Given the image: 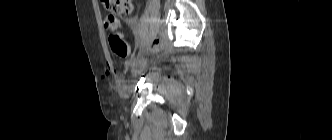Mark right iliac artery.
<instances>
[{"instance_id": "82829eb1", "label": "right iliac artery", "mask_w": 332, "mask_h": 140, "mask_svg": "<svg viewBox=\"0 0 332 140\" xmlns=\"http://www.w3.org/2000/svg\"><path fill=\"white\" fill-rule=\"evenodd\" d=\"M135 62H136V58L133 57V58H131V59L128 61V64H129L130 66H133V65L135 64Z\"/></svg>"}]
</instances>
